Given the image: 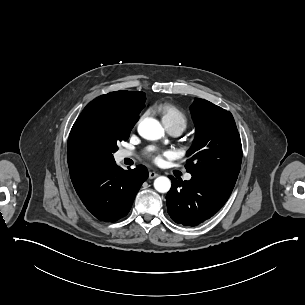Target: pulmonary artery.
Here are the masks:
<instances>
[{"instance_id":"1","label":"pulmonary artery","mask_w":305,"mask_h":305,"mask_svg":"<svg viewBox=\"0 0 305 305\" xmlns=\"http://www.w3.org/2000/svg\"><path fill=\"white\" fill-rule=\"evenodd\" d=\"M166 130L173 136H179L183 133L184 131V127L180 124H175V125H165ZM132 156V153L129 151H124L121 154V158L125 159V158H129ZM184 179L187 181H190L192 179V175L191 174H186L184 176Z\"/></svg>"}]
</instances>
